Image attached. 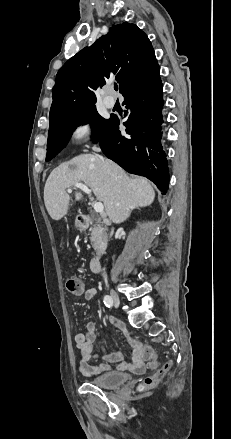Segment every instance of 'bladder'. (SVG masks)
I'll use <instances>...</instances> for the list:
<instances>
[{"instance_id":"1","label":"bladder","mask_w":231,"mask_h":439,"mask_svg":"<svg viewBox=\"0 0 231 439\" xmlns=\"http://www.w3.org/2000/svg\"><path fill=\"white\" fill-rule=\"evenodd\" d=\"M130 378L128 373L109 371L89 378V382L97 387L112 389L126 383Z\"/></svg>"}]
</instances>
